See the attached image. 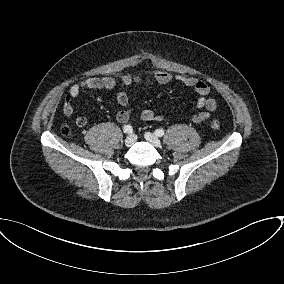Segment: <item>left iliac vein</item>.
Returning <instances> with one entry per match:
<instances>
[{
    "instance_id": "1",
    "label": "left iliac vein",
    "mask_w": 284,
    "mask_h": 284,
    "mask_svg": "<svg viewBox=\"0 0 284 284\" xmlns=\"http://www.w3.org/2000/svg\"><path fill=\"white\" fill-rule=\"evenodd\" d=\"M145 139L150 142L152 145H154L155 147H160L161 146V141L160 139L155 136L154 134L150 133V132H146L145 133Z\"/></svg>"
}]
</instances>
